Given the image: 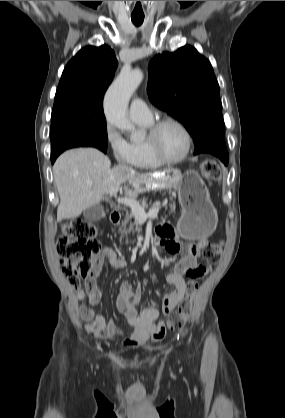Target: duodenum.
I'll return each mask as SVG.
<instances>
[{
	"label": "duodenum",
	"mask_w": 285,
	"mask_h": 418,
	"mask_svg": "<svg viewBox=\"0 0 285 418\" xmlns=\"http://www.w3.org/2000/svg\"><path fill=\"white\" fill-rule=\"evenodd\" d=\"M110 220L113 224H119L121 222V212L119 210H113L110 214Z\"/></svg>",
	"instance_id": "1"
}]
</instances>
